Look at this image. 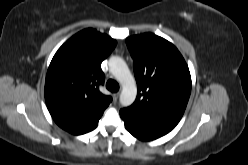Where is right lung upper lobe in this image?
<instances>
[{
    "mask_svg": "<svg viewBox=\"0 0 248 165\" xmlns=\"http://www.w3.org/2000/svg\"><path fill=\"white\" fill-rule=\"evenodd\" d=\"M116 41L94 29H85L54 55L45 81V100L53 120L64 130L81 135L94 129L112 101L99 91L104 83L102 61Z\"/></svg>",
    "mask_w": 248,
    "mask_h": 165,
    "instance_id": "cb5924a9",
    "label": "right lung upper lobe"
}]
</instances>
